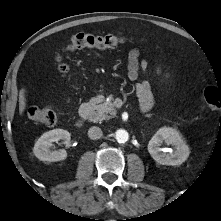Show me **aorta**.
Segmentation results:
<instances>
[{
	"label": "aorta",
	"mask_w": 221,
	"mask_h": 221,
	"mask_svg": "<svg viewBox=\"0 0 221 221\" xmlns=\"http://www.w3.org/2000/svg\"><path fill=\"white\" fill-rule=\"evenodd\" d=\"M115 138L119 143H125L128 141L129 134L126 130L119 129L115 132Z\"/></svg>",
	"instance_id": "aorta-1"
}]
</instances>
